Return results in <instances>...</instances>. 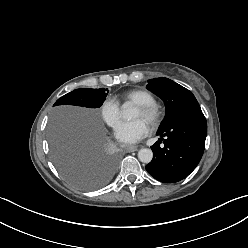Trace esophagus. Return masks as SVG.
Returning <instances> with one entry per match:
<instances>
[{
  "label": "esophagus",
  "instance_id": "34e87169",
  "mask_svg": "<svg viewBox=\"0 0 248 248\" xmlns=\"http://www.w3.org/2000/svg\"><path fill=\"white\" fill-rule=\"evenodd\" d=\"M125 150L127 152H134L138 150V147L137 146H125Z\"/></svg>",
  "mask_w": 248,
  "mask_h": 248
}]
</instances>
